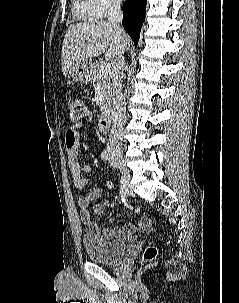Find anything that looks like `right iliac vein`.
Segmentation results:
<instances>
[{
  "label": "right iliac vein",
  "instance_id": "63e3f726",
  "mask_svg": "<svg viewBox=\"0 0 239 303\" xmlns=\"http://www.w3.org/2000/svg\"><path fill=\"white\" fill-rule=\"evenodd\" d=\"M115 162L117 163V165L120 167V169H121V171H126V176H124L123 178H125L126 179V184L128 185L129 184V181H130V174H129V171H128V169L126 168V166H125V163H124V160H123V158L122 157H120V156H117V157H115Z\"/></svg>",
  "mask_w": 239,
  "mask_h": 303
}]
</instances>
